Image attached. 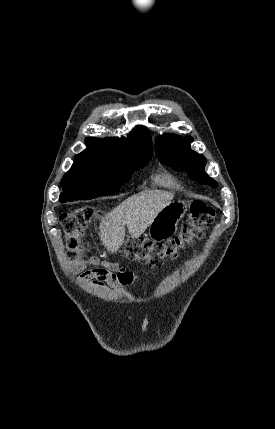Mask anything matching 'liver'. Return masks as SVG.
I'll list each match as a JSON object with an SVG mask.
<instances>
[{"instance_id": "1", "label": "liver", "mask_w": 275, "mask_h": 429, "mask_svg": "<svg viewBox=\"0 0 275 429\" xmlns=\"http://www.w3.org/2000/svg\"><path fill=\"white\" fill-rule=\"evenodd\" d=\"M173 198L172 192L147 190L124 200L100 224L99 236L103 245L108 251L116 252L124 241L125 225L132 236L139 237Z\"/></svg>"}]
</instances>
